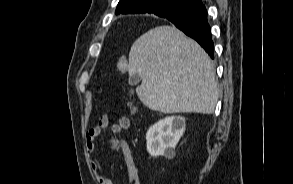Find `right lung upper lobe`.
<instances>
[{
  "label": "right lung upper lobe",
  "mask_w": 293,
  "mask_h": 184,
  "mask_svg": "<svg viewBox=\"0 0 293 184\" xmlns=\"http://www.w3.org/2000/svg\"><path fill=\"white\" fill-rule=\"evenodd\" d=\"M202 4L201 0H120L116 14L153 13L160 17L172 14L179 8Z\"/></svg>",
  "instance_id": "1"
}]
</instances>
